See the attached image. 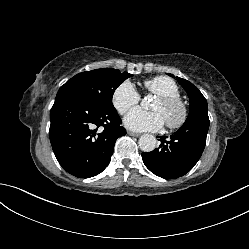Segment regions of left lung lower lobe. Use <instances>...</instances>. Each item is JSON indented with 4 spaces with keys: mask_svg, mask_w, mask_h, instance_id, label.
Instances as JSON below:
<instances>
[{
    "mask_svg": "<svg viewBox=\"0 0 249 249\" xmlns=\"http://www.w3.org/2000/svg\"><path fill=\"white\" fill-rule=\"evenodd\" d=\"M209 119L183 124L170 138L157 136L159 148L143 152L145 166L155 175L175 179L188 173L198 162L206 144Z\"/></svg>",
    "mask_w": 249,
    "mask_h": 249,
    "instance_id": "0a47b994",
    "label": "left lung lower lobe"
}]
</instances>
